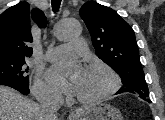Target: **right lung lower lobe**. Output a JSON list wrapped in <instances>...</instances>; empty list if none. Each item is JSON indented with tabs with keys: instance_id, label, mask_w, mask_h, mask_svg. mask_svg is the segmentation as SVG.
I'll return each mask as SVG.
<instances>
[{
	"instance_id": "1",
	"label": "right lung lower lobe",
	"mask_w": 165,
	"mask_h": 120,
	"mask_svg": "<svg viewBox=\"0 0 165 120\" xmlns=\"http://www.w3.org/2000/svg\"><path fill=\"white\" fill-rule=\"evenodd\" d=\"M0 85H6L12 87L24 95L29 94V88H28L29 86L21 85L19 83H14V82H0Z\"/></svg>"
}]
</instances>
